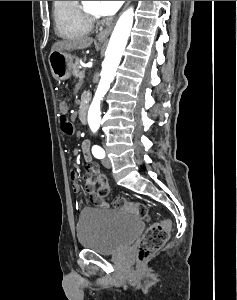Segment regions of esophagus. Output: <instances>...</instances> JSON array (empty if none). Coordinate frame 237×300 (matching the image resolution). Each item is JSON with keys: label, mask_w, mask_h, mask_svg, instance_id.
<instances>
[{"label": "esophagus", "mask_w": 237, "mask_h": 300, "mask_svg": "<svg viewBox=\"0 0 237 300\" xmlns=\"http://www.w3.org/2000/svg\"><path fill=\"white\" fill-rule=\"evenodd\" d=\"M130 4V1H126L124 9L127 8V6ZM113 29V24L111 26L106 27V29H103L98 35L97 39L99 41L106 40L108 36L110 35L111 31Z\"/></svg>", "instance_id": "34e87169"}]
</instances>
